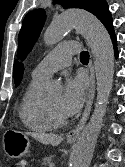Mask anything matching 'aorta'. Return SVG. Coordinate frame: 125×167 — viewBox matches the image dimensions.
Instances as JSON below:
<instances>
[{"label":"aorta","mask_w":125,"mask_h":167,"mask_svg":"<svg viewBox=\"0 0 125 167\" xmlns=\"http://www.w3.org/2000/svg\"><path fill=\"white\" fill-rule=\"evenodd\" d=\"M72 28L77 29L86 38L95 58L97 101L91 119L82 131L70 158V167H89L112 89L114 50L103 24L84 11L65 12L55 18L44 33V43L48 46L58 43ZM59 89L57 84L50 86L53 93Z\"/></svg>","instance_id":"1"}]
</instances>
